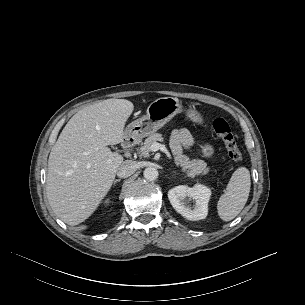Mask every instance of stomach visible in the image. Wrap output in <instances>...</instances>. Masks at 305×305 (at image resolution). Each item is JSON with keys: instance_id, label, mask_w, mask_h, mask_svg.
Wrapping results in <instances>:
<instances>
[{"instance_id": "stomach-1", "label": "stomach", "mask_w": 305, "mask_h": 305, "mask_svg": "<svg viewBox=\"0 0 305 305\" xmlns=\"http://www.w3.org/2000/svg\"><path fill=\"white\" fill-rule=\"evenodd\" d=\"M180 112H182V105L178 98H158L148 106L146 115L126 127L125 134L140 138L152 135ZM186 116L195 124L203 123L202 115L195 109H188ZM213 151V147L209 144L202 146V153L205 157L212 156Z\"/></svg>"}]
</instances>
